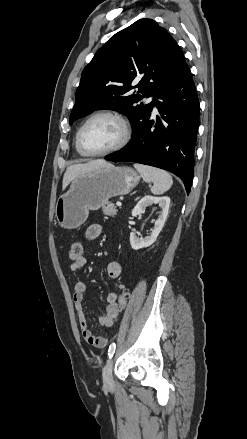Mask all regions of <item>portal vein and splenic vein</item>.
<instances>
[{"label": "portal vein and splenic vein", "mask_w": 247, "mask_h": 439, "mask_svg": "<svg viewBox=\"0 0 247 439\" xmlns=\"http://www.w3.org/2000/svg\"><path fill=\"white\" fill-rule=\"evenodd\" d=\"M116 206H119V207H121V206H122V203H121V202H119V201H117V202H116Z\"/></svg>", "instance_id": "obj_1"}]
</instances>
